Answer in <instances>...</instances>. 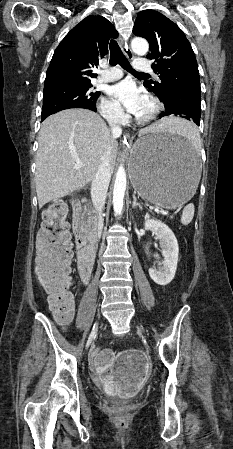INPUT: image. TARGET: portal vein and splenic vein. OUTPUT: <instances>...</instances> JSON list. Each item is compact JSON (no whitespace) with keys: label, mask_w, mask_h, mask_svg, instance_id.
<instances>
[{"label":"portal vein and splenic vein","mask_w":233,"mask_h":449,"mask_svg":"<svg viewBox=\"0 0 233 449\" xmlns=\"http://www.w3.org/2000/svg\"><path fill=\"white\" fill-rule=\"evenodd\" d=\"M82 166H83V163L81 161L77 160L75 165H74V168L75 169H79ZM154 210H155V212L160 213L162 215H168V210H161L158 207H156Z\"/></svg>","instance_id":"portal-vein-and-splenic-vein-1"}]
</instances>
